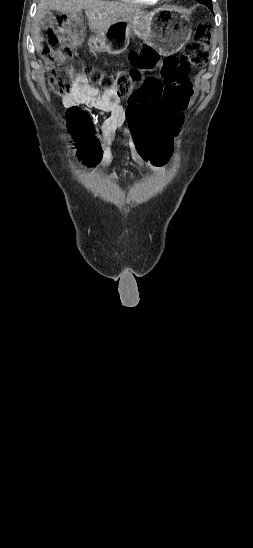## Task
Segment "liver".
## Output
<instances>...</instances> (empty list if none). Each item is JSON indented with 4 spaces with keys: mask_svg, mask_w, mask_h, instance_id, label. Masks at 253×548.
<instances>
[{
    "mask_svg": "<svg viewBox=\"0 0 253 548\" xmlns=\"http://www.w3.org/2000/svg\"><path fill=\"white\" fill-rule=\"evenodd\" d=\"M83 9L90 29L97 34L105 33L113 25L141 11L139 7L131 4L106 0H40L32 30L36 50H41L39 22L47 11L55 10L76 18L82 14Z\"/></svg>",
    "mask_w": 253,
    "mask_h": 548,
    "instance_id": "6515ba94",
    "label": "liver"
}]
</instances>
